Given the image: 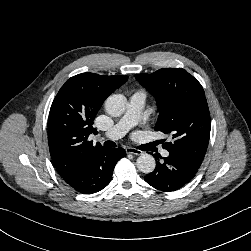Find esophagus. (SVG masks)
Instances as JSON below:
<instances>
[{
    "label": "esophagus",
    "instance_id": "esophagus-1",
    "mask_svg": "<svg viewBox=\"0 0 251 251\" xmlns=\"http://www.w3.org/2000/svg\"><path fill=\"white\" fill-rule=\"evenodd\" d=\"M126 152L133 155H141L143 153L141 150L132 147H127Z\"/></svg>",
    "mask_w": 251,
    "mask_h": 251
}]
</instances>
